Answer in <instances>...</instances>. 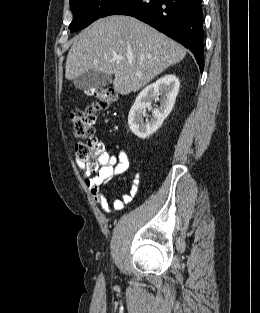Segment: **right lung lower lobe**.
Segmentation results:
<instances>
[{"instance_id":"obj_1","label":"right lung lower lobe","mask_w":260,"mask_h":313,"mask_svg":"<svg viewBox=\"0 0 260 313\" xmlns=\"http://www.w3.org/2000/svg\"><path fill=\"white\" fill-rule=\"evenodd\" d=\"M110 15L133 16L181 43L192 51L203 71L201 0H119L103 17Z\"/></svg>"}]
</instances>
